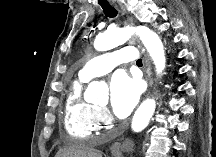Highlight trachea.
Masks as SVG:
<instances>
[{"label": "trachea", "mask_w": 216, "mask_h": 157, "mask_svg": "<svg viewBox=\"0 0 216 157\" xmlns=\"http://www.w3.org/2000/svg\"><path fill=\"white\" fill-rule=\"evenodd\" d=\"M99 4L101 5L104 14L107 17L113 18V17L117 16V14H118L117 10L113 6H111L107 0L100 1ZM136 64L142 65V60L138 59L136 61Z\"/></svg>", "instance_id": "3493384b"}]
</instances>
